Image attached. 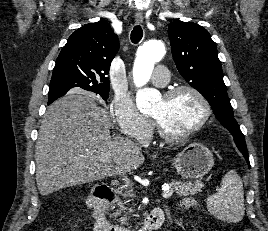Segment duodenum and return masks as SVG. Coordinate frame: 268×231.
<instances>
[{"instance_id": "obj_1", "label": "duodenum", "mask_w": 268, "mask_h": 231, "mask_svg": "<svg viewBox=\"0 0 268 231\" xmlns=\"http://www.w3.org/2000/svg\"><path fill=\"white\" fill-rule=\"evenodd\" d=\"M114 198L113 190L108 183H101L96 186L94 192L88 197V206L93 209L95 231H128L125 228L116 226L109 221L104 213V207ZM164 221L161 209H153L146 217L143 226L136 231H152L159 228Z\"/></svg>"}]
</instances>
